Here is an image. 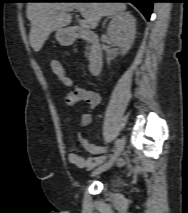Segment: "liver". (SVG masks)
<instances>
[{
	"instance_id": "liver-1",
	"label": "liver",
	"mask_w": 188,
	"mask_h": 213,
	"mask_svg": "<svg viewBox=\"0 0 188 213\" xmlns=\"http://www.w3.org/2000/svg\"><path fill=\"white\" fill-rule=\"evenodd\" d=\"M123 2H29L27 18L31 23L29 40L39 52L49 35L71 22L69 12L78 10L90 28L94 29L104 16H114L126 10Z\"/></svg>"
}]
</instances>
